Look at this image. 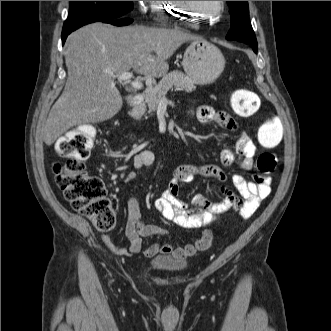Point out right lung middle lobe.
<instances>
[{"label":"right lung middle lobe","instance_id":"right-lung-middle-lobe-1","mask_svg":"<svg viewBox=\"0 0 331 331\" xmlns=\"http://www.w3.org/2000/svg\"><path fill=\"white\" fill-rule=\"evenodd\" d=\"M133 9V1H71L62 34L107 19L123 18Z\"/></svg>","mask_w":331,"mask_h":331}]
</instances>
